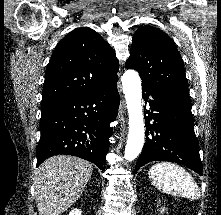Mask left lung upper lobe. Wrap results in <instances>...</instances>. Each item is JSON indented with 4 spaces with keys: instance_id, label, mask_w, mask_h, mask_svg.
Instances as JSON below:
<instances>
[{
    "instance_id": "obj_1",
    "label": "left lung upper lobe",
    "mask_w": 221,
    "mask_h": 215,
    "mask_svg": "<svg viewBox=\"0 0 221 215\" xmlns=\"http://www.w3.org/2000/svg\"><path fill=\"white\" fill-rule=\"evenodd\" d=\"M126 67L138 71L142 84L167 96L189 101L181 55L163 31L152 26L137 29Z\"/></svg>"
}]
</instances>
